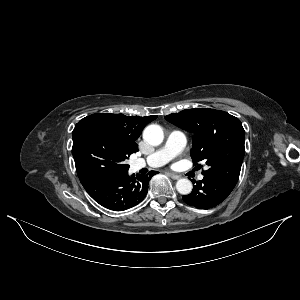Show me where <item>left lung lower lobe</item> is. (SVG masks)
Instances as JSON below:
<instances>
[{"label": "left lung lower lobe", "instance_id": "obj_1", "mask_svg": "<svg viewBox=\"0 0 300 300\" xmlns=\"http://www.w3.org/2000/svg\"><path fill=\"white\" fill-rule=\"evenodd\" d=\"M234 187L235 185L225 180L204 176L203 180L193 186L192 192L182 199L190 206L210 209L226 199Z\"/></svg>", "mask_w": 300, "mask_h": 300}]
</instances>
